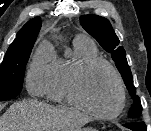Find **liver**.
Listing matches in <instances>:
<instances>
[{
  "label": "liver",
  "mask_w": 151,
  "mask_h": 131,
  "mask_svg": "<svg viewBox=\"0 0 151 131\" xmlns=\"http://www.w3.org/2000/svg\"><path fill=\"white\" fill-rule=\"evenodd\" d=\"M90 121L78 110L31 100L12 104L0 117V131H79Z\"/></svg>",
  "instance_id": "6515ba94"
}]
</instances>
